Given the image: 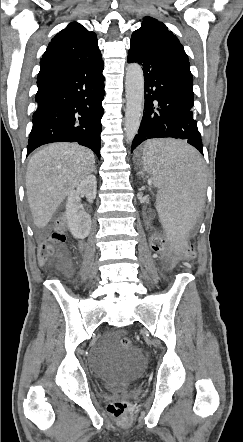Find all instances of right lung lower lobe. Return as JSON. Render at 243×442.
I'll return each mask as SVG.
<instances>
[{
	"mask_svg": "<svg viewBox=\"0 0 243 442\" xmlns=\"http://www.w3.org/2000/svg\"><path fill=\"white\" fill-rule=\"evenodd\" d=\"M103 61L70 67L37 78V109L27 155L52 142H77L100 158L104 99Z\"/></svg>",
	"mask_w": 243,
	"mask_h": 442,
	"instance_id": "right-lung-lower-lobe-1",
	"label": "right lung lower lobe"
}]
</instances>
